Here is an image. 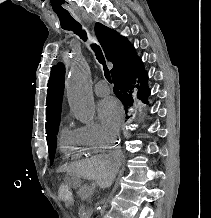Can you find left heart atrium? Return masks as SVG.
Returning a JSON list of instances; mask_svg holds the SVG:
<instances>
[{"mask_svg": "<svg viewBox=\"0 0 211 218\" xmlns=\"http://www.w3.org/2000/svg\"><path fill=\"white\" fill-rule=\"evenodd\" d=\"M98 112L104 125L115 133L122 119V110L118 102L114 98H106L99 104Z\"/></svg>", "mask_w": 211, "mask_h": 218, "instance_id": "left-heart-atrium-1", "label": "left heart atrium"}]
</instances>
